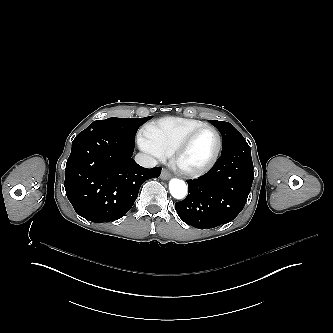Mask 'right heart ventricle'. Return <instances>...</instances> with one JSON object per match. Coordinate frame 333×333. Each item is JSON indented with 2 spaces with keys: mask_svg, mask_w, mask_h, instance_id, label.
<instances>
[{
  "mask_svg": "<svg viewBox=\"0 0 333 333\" xmlns=\"http://www.w3.org/2000/svg\"><path fill=\"white\" fill-rule=\"evenodd\" d=\"M205 125L197 119L169 117L144 125L138 134V143L159 157H168L180 139L192 129Z\"/></svg>",
  "mask_w": 333,
  "mask_h": 333,
  "instance_id": "e07e8e85",
  "label": "right heart ventricle"
}]
</instances>
